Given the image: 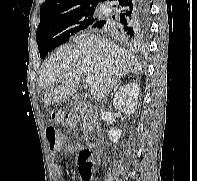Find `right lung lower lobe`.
Returning <instances> with one entry per match:
<instances>
[{
  "label": "right lung lower lobe",
  "instance_id": "right-lung-lower-lobe-1",
  "mask_svg": "<svg viewBox=\"0 0 197 181\" xmlns=\"http://www.w3.org/2000/svg\"><path fill=\"white\" fill-rule=\"evenodd\" d=\"M110 1L120 13L113 20H98L92 27L121 35L128 41L139 38L149 23L150 0Z\"/></svg>",
  "mask_w": 197,
  "mask_h": 181
}]
</instances>
